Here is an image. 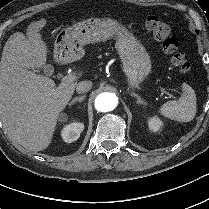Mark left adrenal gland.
Here are the masks:
<instances>
[{
    "mask_svg": "<svg viewBox=\"0 0 209 209\" xmlns=\"http://www.w3.org/2000/svg\"><path fill=\"white\" fill-rule=\"evenodd\" d=\"M133 97H135L137 99V103L146 106V103L141 99L140 96H138L137 94H131Z\"/></svg>",
    "mask_w": 209,
    "mask_h": 209,
    "instance_id": "a2214340",
    "label": "left adrenal gland"
}]
</instances>
